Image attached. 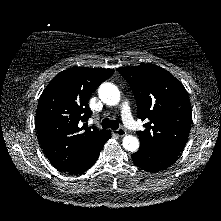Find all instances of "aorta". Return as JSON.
I'll return each mask as SVG.
<instances>
[{
    "label": "aorta",
    "instance_id": "1",
    "mask_svg": "<svg viewBox=\"0 0 221 221\" xmlns=\"http://www.w3.org/2000/svg\"><path fill=\"white\" fill-rule=\"evenodd\" d=\"M98 95L101 101L107 105L114 106L120 102L119 89L112 83H102L98 89ZM125 150L134 152L139 148V140L132 135H127L122 141Z\"/></svg>",
    "mask_w": 221,
    "mask_h": 221
}]
</instances>
